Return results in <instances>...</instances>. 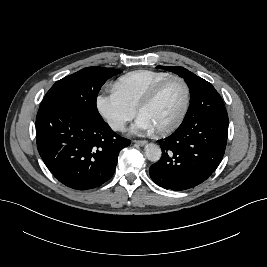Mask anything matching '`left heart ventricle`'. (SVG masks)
<instances>
[{"label": "left heart ventricle", "instance_id": "1", "mask_svg": "<svg viewBox=\"0 0 267 267\" xmlns=\"http://www.w3.org/2000/svg\"><path fill=\"white\" fill-rule=\"evenodd\" d=\"M184 97L183 85L177 80H172L162 88L157 98L140 112V115L146 117L155 130L168 126L179 116Z\"/></svg>", "mask_w": 267, "mask_h": 267}]
</instances>
